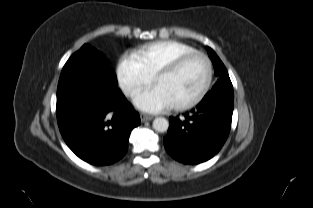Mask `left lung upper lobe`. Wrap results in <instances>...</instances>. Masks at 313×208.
<instances>
[{"mask_svg": "<svg viewBox=\"0 0 313 208\" xmlns=\"http://www.w3.org/2000/svg\"><path fill=\"white\" fill-rule=\"evenodd\" d=\"M207 50L214 65L215 75L218 77V80L212 90L220 88H233L228 72L222 61L211 48L207 47Z\"/></svg>", "mask_w": 313, "mask_h": 208, "instance_id": "obj_1", "label": "left lung upper lobe"}]
</instances>
